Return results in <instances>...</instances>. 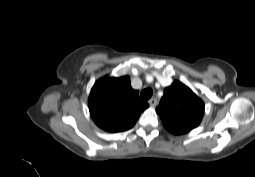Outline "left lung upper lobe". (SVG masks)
<instances>
[{"instance_id":"5c2ea615","label":"left lung upper lobe","mask_w":255,"mask_h":177,"mask_svg":"<svg viewBox=\"0 0 255 177\" xmlns=\"http://www.w3.org/2000/svg\"><path fill=\"white\" fill-rule=\"evenodd\" d=\"M156 112L167 131L180 135L188 133L200 124L204 114V103L189 87L174 81L164 89V96Z\"/></svg>"}]
</instances>
